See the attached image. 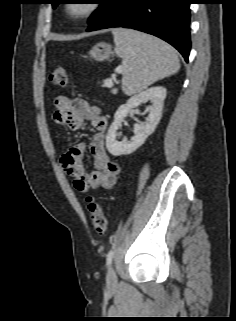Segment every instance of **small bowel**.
I'll return each mask as SVG.
<instances>
[{"mask_svg": "<svg viewBox=\"0 0 236 321\" xmlns=\"http://www.w3.org/2000/svg\"><path fill=\"white\" fill-rule=\"evenodd\" d=\"M53 120L56 124L67 126L74 131L82 130L89 124L93 137L89 151L93 158L94 169L86 170L83 162L86 145L78 143L70 147L60 157L62 169L73 178L78 192L85 193L90 189L112 188L121 172L119 164L113 162L105 149L108 122L100 109L81 98L58 96L54 99Z\"/></svg>", "mask_w": 236, "mask_h": 321, "instance_id": "small-bowel-1", "label": "small bowel"}]
</instances>
